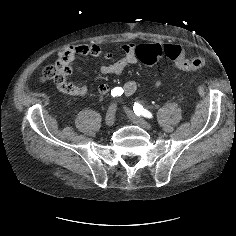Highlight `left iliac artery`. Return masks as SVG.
I'll use <instances>...</instances> for the list:
<instances>
[{"instance_id":"1","label":"left iliac artery","mask_w":236,"mask_h":236,"mask_svg":"<svg viewBox=\"0 0 236 236\" xmlns=\"http://www.w3.org/2000/svg\"><path fill=\"white\" fill-rule=\"evenodd\" d=\"M133 110L137 116H144L146 118H153V115L148 110L144 109L143 106L137 102H135V104L133 106Z\"/></svg>"}]
</instances>
